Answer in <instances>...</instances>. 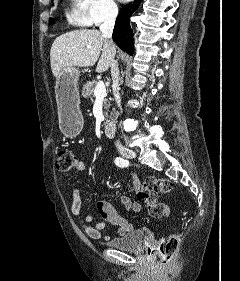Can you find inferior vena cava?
Masks as SVG:
<instances>
[{
  "instance_id": "inferior-vena-cava-1",
  "label": "inferior vena cava",
  "mask_w": 240,
  "mask_h": 281,
  "mask_svg": "<svg viewBox=\"0 0 240 281\" xmlns=\"http://www.w3.org/2000/svg\"><path fill=\"white\" fill-rule=\"evenodd\" d=\"M117 15H118V7L116 5H110L105 15L104 22L100 26V31L103 37L110 43H113L112 33H113ZM110 67H111L113 95L115 97L118 106H120L121 99L119 94V70H118L117 62L114 59L112 60ZM119 115L120 114L118 111L114 113V117L116 119L118 118Z\"/></svg>"
}]
</instances>
